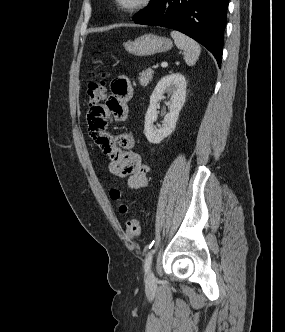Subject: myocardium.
Returning a JSON list of instances; mask_svg holds the SVG:
<instances>
[{"instance_id": "myocardium-1", "label": "myocardium", "mask_w": 285, "mask_h": 332, "mask_svg": "<svg viewBox=\"0 0 285 332\" xmlns=\"http://www.w3.org/2000/svg\"><path fill=\"white\" fill-rule=\"evenodd\" d=\"M153 0H112L114 8L124 14H134L148 9Z\"/></svg>"}]
</instances>
